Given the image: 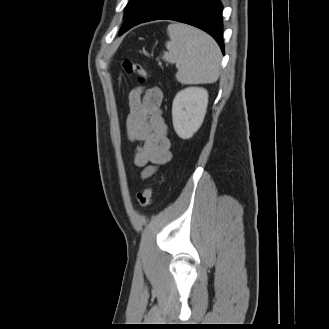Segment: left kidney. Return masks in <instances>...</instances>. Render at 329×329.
I'll list each match as a JSON object with an SVG mask.
<instances>
[{
  "mask_svg": "<svg viewBox=\"0 0 329 329\" xmlns=\"http://www.w3.org/2000/svg\"><path fill=\"white\" fill-rule=\"evenodd\" d=\"M208 104V92L188 87L177 93L172 105L174 130L182 139L191 138L201 127Z\"/></svg>",
  "mask_w": 329,
  "mask_h": 329,
  "instance_id": "left-kidney-1",
  "label": "left kidney"
}]
</instances>
